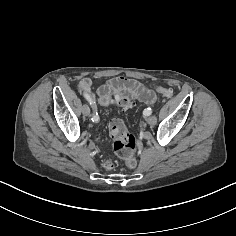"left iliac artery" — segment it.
<instances>
[{"instance_id":"obj_1","label":"left iliac artery","mask_w":236,"mask_h":236,"mask_svg":"<svg viewBox=\"0 0 236 236\" xmlns=\"http://www.w3.org/2000/svg\"><path fill=\"white\" fill-rule=\"evenodd\" d=\"M151 113H152L151 108H147V109H145V110L143 111V114H144L145 116H148V115H150Z\"/></svg>"}]
</instances>
